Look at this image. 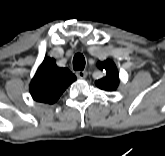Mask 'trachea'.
Instances as JSON below:
<instances>
[{
	"mask_svg": "<svg viewBox=\"0 0 165 156\" xmlns=\"http://www.w3.org/2000/svg\"><path fill=\"white\" fill-rule=\"evenodd\" d=\"M85 67V58L82 54L78 53L73 58L74 70H83Z\"/></svg>",
	"mask_w": 165,
	"mask_h": 156,
	"instance_id": "1",
	"label": "trachea"
}]
</instances>
